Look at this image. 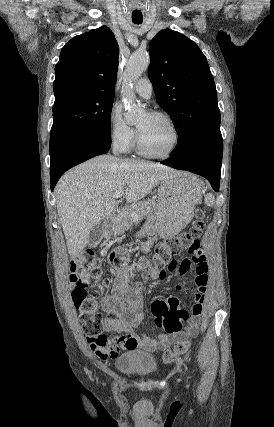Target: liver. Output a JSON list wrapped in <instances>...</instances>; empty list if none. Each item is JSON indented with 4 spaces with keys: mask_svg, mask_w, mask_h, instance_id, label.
<instances>
[{
    "mask_svg": "<svg viewBox=\"0 0 274 427\" xmlns=\"http://www.w3.org/2000/svg\"><path fill=\"white\" fill-rule=\"evenodd\" d=\"M176 170L149 162L121 160L114 156H97L60 178L56 188L59 219L71 257L82 251L89 241L92 227L113 212L115 192H124L126 202L134 204L145 198Z\"/></svg>",
    "mask_w": 274,
    "mask_h": 427,
    "instance_id": "liver-1",
    "label": "liver"
}]
</instances>
